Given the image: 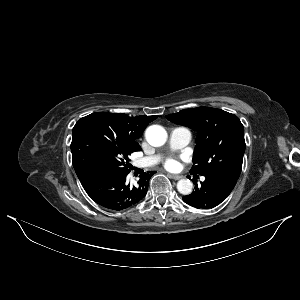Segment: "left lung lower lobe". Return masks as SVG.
<instances>
[{
    "instance_id": "obj_1",
    "label": "left lung lower lobe",
    "mask_w": 300,
    "mask_h": 300,
    "mask_svg": "<svg viewBox=\"0 0 300 300\" xmlns=\"http://www.w3.org/2000/svg\"><path fill=\"white\" fill-rule=\"evenodd\" d=\"M236 180L219 174L205 175V181L201 182L195 191L184 196L183 201L195 208L210 209L222 203L236 185Z\"/></svg>"
}]
</instances>
